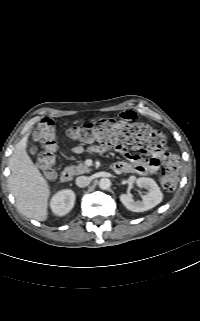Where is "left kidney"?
I'll list each match as a JSON object with an SVG mask.
<instances>
[{
	"label": "left kidney",
	"instance_id": "5707ae66",
	"mask_svg": "<svg viewBox=\"0 0 200 321\" xmlns=\"http://www.w3.org/2000/svg\"><path fill=\"white\" fill-rule=\"evenodd\" d=\"M136 184L138 187L144 188L148 192L142 197V201H134L131 196L121 194L120 201L128 210L133 212H144L155 207L162 201L163 194L153 179L140 177L136 180Z\"/></svg>",
	"mask_w": 200,
	"mask_h": 321
}]
</instances>
